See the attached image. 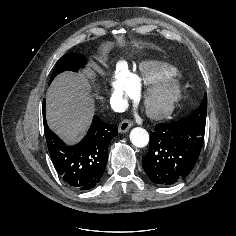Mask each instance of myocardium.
I'll list each match as a JSON object with an SVG mask.
<instances>
[{"label":"myocardium","mask_w":236,"mask_h":236,"mask_svg":"<svg viewBox=\"0 0 236 236\" xmlns=\"http://www.w3.org/2000/svg\"><path fill=\"white\" fill-rule=\"evenodd\" d=\"M160 94L163 101L160 106L152 107L151 98ZM142 105L150 118L163 119L172 114L182 98V89L177 79L165 78L144 86L140 93Z\"/></svg>","instance_id":"obj_1"}]
</instances>
